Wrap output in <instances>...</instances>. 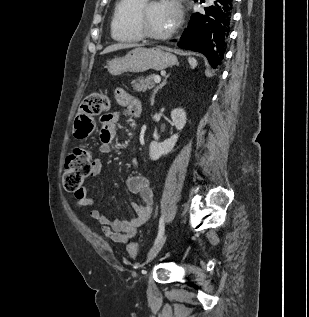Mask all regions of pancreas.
<instances>
[{"mask_svg": "<svg viewBox=\"0 0 309 317\" xmlns=\"http://www.w3.org/2000/svg\"><path fill=\"white\" fill-rule=\"evenodd\" d=\"M156 75L152 74L147 76L146 78L144 77H139L137 78L136 81H133L132 87L133 90L141 92V91H146L147 89H152L155 86L154 78Z\"/></svg>", "mask_w": 309, "mask_h": 317, "instance_id": "cf45deb5", "label": "pancreas"}]
</instances>
